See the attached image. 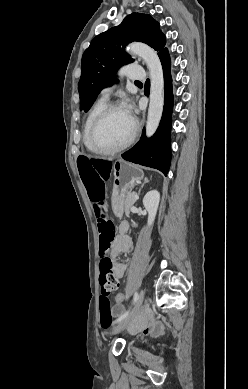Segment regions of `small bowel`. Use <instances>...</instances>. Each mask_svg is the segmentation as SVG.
Instances as JSON below:
<instances>
[{"label":"small bowel","mask_w":248,"mask_h":389,"mask_svg":"<svg viewBox=\"0 0 248 389\" xmlns=\"http://www.w3.org/2000/svg\"><path fill=\"white\" fill-rule=\"evenodd\" d=\"M128 231V223L121 222L118 226V234L114 238L112 249H111V257L115 259L119 254L128 253L132 250V240L127 235ZM127 270V266L124 263H115L114 273L117 279H121L124 277ZM122 305L117 307L113 306V314L117 318L116 321L124 314V301H121ZM136 330L143 332L146 335L158 334L161 332V327L155 324H150L145 321H141Z\"/></svg>","instance_id":"small-bowel-1"}]
</instances>
